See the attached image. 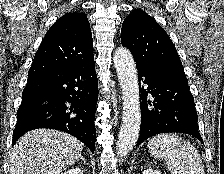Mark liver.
<instances>
[{"label":"liver","instance_id":"6515ba94","mask_svg":"<svg viewBox=\"0 0 224 174\" xmlns=\"http://www.w3.org/2000/svg\"><path fill=\"white\" fill-rule=\"evenodd\" d=\"M82 143L52 129L25 133L10 155V174H61L81 157Z\"/></svg>","mask_w":224,"mask_h":174}]
</instances>
